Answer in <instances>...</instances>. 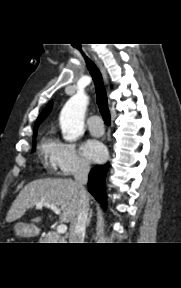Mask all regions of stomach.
I'll use <instances>...</instances> for the list:
<instances>
[{"mask_svg":"<svg viewBox=\"0 0 181 288\" xmlns=\"http://www.w3.org/2000/svg\"><path fill=\"white\" fill-rule=\"evenodd\" d=\"M17 236L22 238H29L38 234V229L34 226L27 225L24 223H17L14 227Z\"/></svg>","mask_w":181,"mask_h":288,"instance_id":"1","label":"stomach"}]
</instances>
